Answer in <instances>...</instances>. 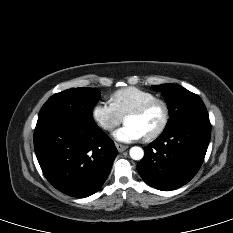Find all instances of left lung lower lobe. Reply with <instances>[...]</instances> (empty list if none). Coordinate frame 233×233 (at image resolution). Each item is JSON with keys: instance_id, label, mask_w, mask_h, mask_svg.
I'll use <instances>...</instances> for the list:
<instances>
[{"instance_id": "left-lung-lower-lobe-1", "label": "left lung lower lobe", "mask_w": 233, "mask_h": 233, "mask_svg": "<svg viewBox=\"0 0 233 233\" xmlns=\"http://www.w3.org/2000/svg\"><path fill=\"white\" fill-rule=\"evenodd\" d=\"M211 136L209 119H192L166 129L146 146L138 164L142 179L169 191L189 182L200 169Z\"/></svg>"}]
</instances>
